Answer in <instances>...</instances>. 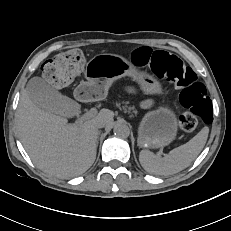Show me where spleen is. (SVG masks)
<instances>
[{
	"label": "spleen",
	"mask_w": 231,
	"mask_h": 231,
	"mask_svg": "<svg viewBox=\"0 0 231 231\" xmlns=\"http://www.w3.org/2000/svg\"><path fill=\"white\" fill-rule=\"evenodd\" d=\"M209 129L204 127L186 144L171 150L164 157H160L149 150H142L139 161L150 174L169 176L187 168L200 154L208 138Z\"/></svg>",
	"instance_id": "3e777b00"
}]
</instances>
